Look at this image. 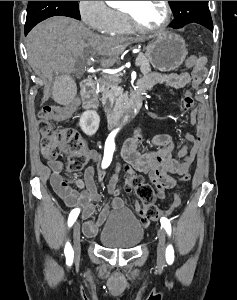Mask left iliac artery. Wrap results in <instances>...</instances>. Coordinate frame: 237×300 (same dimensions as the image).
<instances>
[{
  "mask_svg": "<svg viewBox=\"0 0 237 300\" xmlns=\"http://www.w3.org/2000/svg\"><path fill=\"white\" fill-rule=\"evenodd\" d=\"M162 227L166 230L167 234L171 235V223L170 220H168L165 217H162L161 220ZM166 261L168 264H172L174 261V250L172 245L167 246L166 248Z\"/></svg>",
  "mask_w": 237,
  "mask_h": 300,
  "instance_id": "1",
  "label": "left iliac artery"
}]
</instances>
